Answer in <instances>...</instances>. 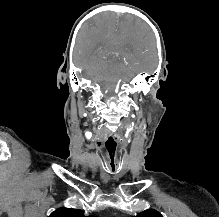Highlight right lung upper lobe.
Masks as SVG:
<instances>
[{
    "instance_id": "right-lung-upper-lobe-1",
    "label": "right lung upper lobe",
    "mask_w": 219,
    "mask_h": 217,
    "mask_svg": "<svg viewBox=\"0 0 219 217\" xmlns=\"http://www.w3.org/2000/svg\"><path fill=\"white\" fill-rule=\"evenodd\" d=\"M49 217H85L82 210L73 208H60L50 214ZM94 217V216H88Z\"/></svg>"
}]
</instances>
